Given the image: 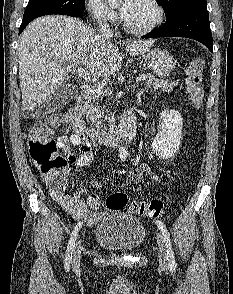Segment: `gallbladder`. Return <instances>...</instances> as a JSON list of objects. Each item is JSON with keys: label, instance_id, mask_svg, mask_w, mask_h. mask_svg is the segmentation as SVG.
Returning <instances> with one entry per match:
<instances>
[{"label": "gallbladder", "instance_id": "bac80fb5", "mask_svg": "<svg viewBox=\"0 0 233 294\" xmlns=\"http://www.w3.org/2000/svg\"><path fill=\"white\" fill-rule=\"evenodd\" d=\"M70 95V90L67 86L61 85L58 86L54 93L48 98L45 102V107L47 110H52L57 108L61 103L66 101Z\"/></svg>", "mask_w": 233, "mask_h": 294}]
</instances>
